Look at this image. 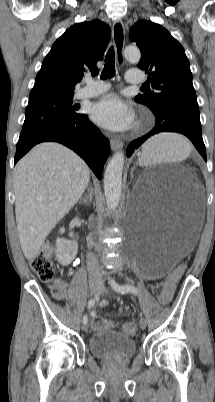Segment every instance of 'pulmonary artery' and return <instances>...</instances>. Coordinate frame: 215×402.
Segmentation results:
<instances>
[{"mask_svg": "<svg viewBox=\"0 0 215 402\" xmlns=\"http://www.w3.org/2000/svg\"><path fill=\"white\" fill-rule=\"evenodd\" d=\"M126 81L131 84H140L144 81V77L141 72L136 70H130L126 73ZM86 86L81 88L77 93L78 99H86L96 97L109 89V84L104 82H98L91 78L85 79Z\"/></svg>", "mask_w": 215, "mask_h": 402, "instance_id": "pulmonary-artery-1", "label": "pulmonary artery"}]
</instances>
